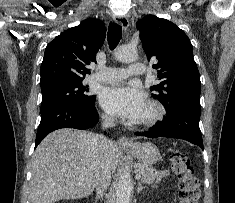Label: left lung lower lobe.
<instances>
[{"label": "left lung lower lobe", "instance_id": "0a47b994", "mask_svg": "<svg viewBox=\"0 0 235 203\" xmlns=\"http://www.w3.org/2000/svg\"><path fill=\"white\" fill-rule=\"evenodd\" d=\"M200 106L187 103L175 107L150 132L136 133L148 138L168 137L184 139L203 149L202 135L199 128Z\"/></svg>", "mask_w": 235, "mask_h": 203}]
</instances>
